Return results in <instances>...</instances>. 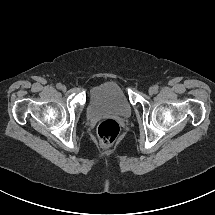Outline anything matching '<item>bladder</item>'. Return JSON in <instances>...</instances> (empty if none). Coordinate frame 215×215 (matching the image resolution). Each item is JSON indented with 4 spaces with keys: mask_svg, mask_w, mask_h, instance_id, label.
Wrapping results in <instances>:
<instances>
[{
    "mask_svg": "<svg viewBox=\"0 0 215 215\" xmlns=\"http://www.w3.org/2000/svg\"><path fill=\"white\" fill-rule=\"evenodd\" d=\"M87 110L92 117L110 113L128 118L132 114V106L127 96L114 81L102 82L92 88Z\"/></svg>",
    "mask_w": 215,
    "mask_h": 215,
    "instance_id": "obj_1",
    "label": "bladder"
}]
</instances>
